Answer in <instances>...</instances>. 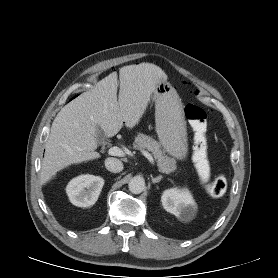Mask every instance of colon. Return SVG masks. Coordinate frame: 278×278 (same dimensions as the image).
Returning <instances> with one entry per match:
<instances>
[{"label": "colon", "mask_w": 278, "mask_h": 278, "mask_svg": "<svg viewBox=\"0 0 278 278\" xmlns=\"http://www.w3.org/2000/svg\"><path fill=\"white\" fill-rule=\"evenodd\" d=\"M185 115L194 131L193 156L202 172L207 168V114L200 106L189 103L185 107ZM204 179L205 176H202ZM227 188L226 177L223 173L216 174L205 184V191L213 198L221 197Z\"/></svg>", "instance_id": "obj_1"}]
</instances>
